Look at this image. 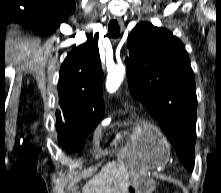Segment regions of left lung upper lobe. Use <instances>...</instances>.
Returning a JSON list of instances; mask_svg holds the SVG:
<instances>
[{"label":"left lung upper lobe","instance_id":"5c2ea615","mask_svg":"<svg viewBox=\"0 0 221 193\" xmlns=\"http://www.w3.org/2000/svg\"><path fill=\"white\" fill-rule=\"evenodd\" d=\"M126 59L129 89L157 120L182 164L194 167L197 97L184 44L169 30L140 22Z\"/></svg>","mask_w":221,"mask_h":193}]
</instances>
